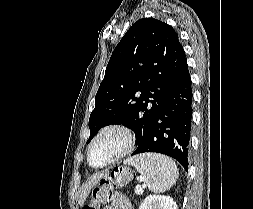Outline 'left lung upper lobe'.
Here are the masks:
<instances>
[{"label": "left lung upper lobe", "mask_w": 253, "mask_h": 209, "mask_svg": "<svg viewBox=\"0 0 253 209\" xmlns=\"http://www.w3.org/2000/svg\"><path fill=\"white\" fill-rule=\"evenodd\" d=\"M185 61L170 25L153 18L136 21L108 62L90 115L87 143L100 128L123 123L134 131L140 148Z\"/></svg>", "instance_id": "left-lung-upper-lobe-1"}]
</instances>
